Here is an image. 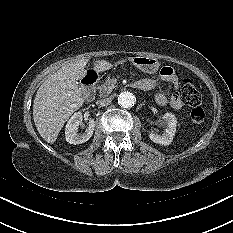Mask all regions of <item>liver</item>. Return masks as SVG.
Instances as JSON below:
<instances>
[{
  "label": "liver",
  "instance_id": "obj_1",
  "mask_svg": "<svg viewBox=\"0 0 233 233\" xmlns=\"http://www.w3.org/2000/svg\"><path fill=\"white\" fill-rule=\"evenodd\" d=\"M88 59L66 63L50 75L39 87L33 104V119L40 136L48 143L56 141L69 117L84 103L78 80L86 75ZM113 65L98 61L97 72L109 70Z\"/></svg>",
  "mask_w": 233,
  "mask_h": 233
}]
</instances>
